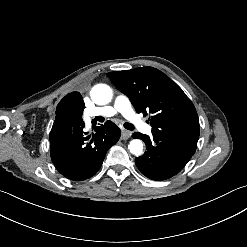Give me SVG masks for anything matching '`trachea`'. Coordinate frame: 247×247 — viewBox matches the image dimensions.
I'll use <instances>...</instances> for the list:
<instances>
[{"instance_id":"3493384b","label":"trachea","mask_w":247,"mask_h":247,"mask_svg":"<svg viewBox=\"0 0 247 247\" xmlns=\"http://www.w3.org/2000/svg\"><path fill=\"white\" fill-rule=\"evenodd\" d=\"M123 126L128 130H134V126L131 123H124Z\"/></svg>"}]
</instances>
